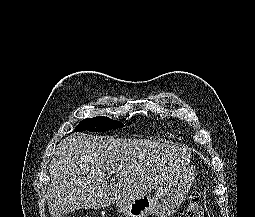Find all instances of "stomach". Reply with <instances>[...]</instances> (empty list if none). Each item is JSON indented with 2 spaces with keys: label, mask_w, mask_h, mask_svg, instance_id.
<instances>
[{
  "label": "stomach",
  "mask_w": 255,
  "mask_h": 217,
  "mask_svg": "<svg viewBox=\"0 0 255 217\" xmlns=\"http://www.w3.org/2000/svg\"><path fill=\"white\" fill-rule=\"evenodd\" d=\"M194 180V171L185 166L163 181L154 197L143 196L129 202L117 204V211L125 217H170L186 198Z\"/></svg>",
  "instance_id": "stomach-1"
}]
</instances>
